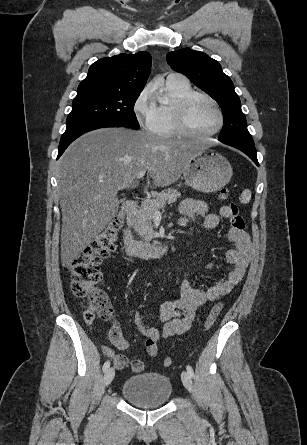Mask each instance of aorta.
Returning a JSON list of instances; mask_svg holds the SVG:
<instances>
[{
    "mask_svg": "<svg viewBox=\"0 0 307 445\" xmlns=\"http://www.w3.org/2000/svg\"><path fill=\"white\" fill-rule=\"evenodd\" d=\"M159 92H161V94H162V92H163L162 88H160ZM158 100H159V102H161V104H168V102H169L168 96H164V94H162V96H159Z\"/></svg>",
    "mask_w": 307,
    "mask_h": 445,
    "instance_id": "1",
    "label": "aorta"
}]
</instances>
